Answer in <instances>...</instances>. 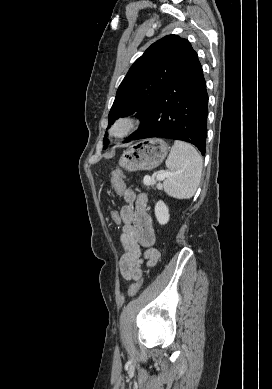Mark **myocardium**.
I'll return each mask as SVG.
<instances>
[{
	"label": "myocardium",
	"mask_w": 272,
	"mask_h": 389,
	"mask_svg": "<svg viewBox=\"0 0 272 389\" xmlns=\"http://www.w3.org/2000/svg\"><path fill=\"white\" fill-rule=\"evenodd\" d=\"M139 126V119L133 114L118 117L109 129V135L114 139H124L131 135Z\"/></svg>",
	"instance_id": "1"
}]
</instances>
